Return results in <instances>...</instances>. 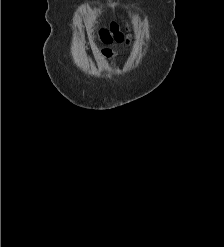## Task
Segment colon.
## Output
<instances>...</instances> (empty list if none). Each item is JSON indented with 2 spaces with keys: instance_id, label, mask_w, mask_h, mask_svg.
Instances as JSON below:
<instances>
[{
  "instance_id": "colon-1",
  "label": "colon",
  "mask_w": 224,
  "mask_h": 247,
  "mask_svg": "<svg viewBox=\"0 0 224 247\" xmlns=\"http://www.w3.org/2000/svg\"><path fill=\"white\" fill-rule=\"evenodd\" d=\"M119 34V26L116 22H111L108 27L102 28L100 30V35L104 39H111L118 36Z\"/></svg>"
}]
</instances>
